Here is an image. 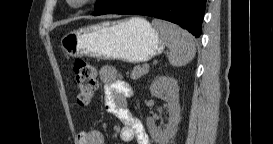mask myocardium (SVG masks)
Instances as JSON below:
<instances>
[{
  "instance_id": "myocardium-1",
  "label": "myocardium",
  "mask_w": 273,
  "mask_h": 144,
  "mask_svg": "<svg viewBox=\"0 0 273 144\" xmlns=\"http://www.w3.org/2000/svg\"><path fill=\"white\" fill-rule=\"evenodd\" d=\"M94 0H70V2L78 7H84L88 4H90L91 2H93Z\"/></svg>"
}]
</instances>
